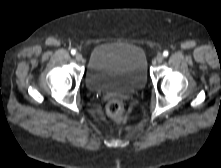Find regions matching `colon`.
Listing matches in <instances>:
<instances>
[{"label":"colon","instance_id":"5ec220e1","mask_svg":"<svg viewBox=\"0 0 221 168\" xmlns=\"http://www.w3.org/2000/svg\"><path fill=\"white\" fill-rule=\"evenodd\" d=\"M107 112L116 121H122L126 115L125 106L118 99H112L109 101Z\"/></svg>","mask_w":221,"mask_h":168}]
</instances>
